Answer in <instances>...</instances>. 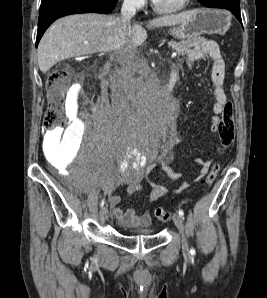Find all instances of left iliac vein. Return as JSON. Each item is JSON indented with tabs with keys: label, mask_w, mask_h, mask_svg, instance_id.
<instances>
[{
	"label": "left iliac vein",
	"mask_w": 267,
	"mask_h": 298,
	"mask_svg": "<svg viewBox=\"0 0 267 298\" xmlns=\"http://www.w3.org/2000/svg\"><path fill=\"white\" fill-rule=\"evenodd\" d=\"M173 221H174L176 227L179 229V231L181 233V236H182V249H183V252L188 255L189 254V248H188V242H187V239H186V236H185L184 224H183L182 218L178 213H174L173 214Z\"/></svg>",
	"instance_id": "4c4485c4"
}]
</instances>
